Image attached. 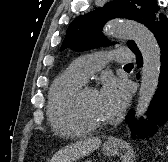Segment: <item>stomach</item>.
I'll list each match as a JSON object with an SVG mask.
<instances>
[{
	"label": "stomach",
	"instance_id": "obj_1",
	"mask_svg": "<svg viewBox=\"0 0 168 162\" xmlns=\"http://www.w3.org/2000/svg\"><path fill=\"white\" fill-rule=\"evenodd\" d=\"M118 146L116 144H113V145H107L105 144L103 146V152L105 155L107 156H114L118 153Z\"/></svg>",
	"mask_w": 168,
	"mask_h": 162
}]
</instances>
